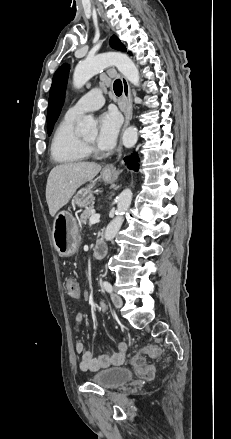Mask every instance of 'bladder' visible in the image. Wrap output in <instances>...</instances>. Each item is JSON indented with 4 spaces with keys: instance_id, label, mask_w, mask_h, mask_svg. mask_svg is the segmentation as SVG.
<instances>
[{
    "instance_id": "31cf9c89",
    "label": "bladder",
    "mask_w": 231,
    "mask_h": 439,
    "mask_svg": "<svg viewBox=\"0 0 231 439\" xmlns=\"http://www.w3.org/2000/svg\"><path fill=\"white\" fill-rule=\"evenodd\" d=\"M133 378L131 370L124 367H114L96 373L91 381L106 389L118 388Z\"/></svg>"
}]
</instances>
